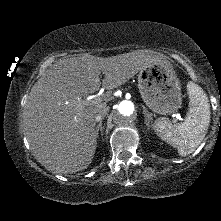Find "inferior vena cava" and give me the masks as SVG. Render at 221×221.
I'll return each instance as SVG.
<instances>
[{
    "instance_id": "inferior-vena-cava-1",
    "label": "inferior vena cava",
    "mask_w": 221,
    "mask_h": 221,
    "mask_svg": "<svg viewBox=\"0 0 221 221\" xmlns=\"http://www.w3.org/2000/svg\"><path fill=\"white\" fill-rule=\"evenodd\" d=\"M108 110H109V109H108L107 107L102 108V109L98 112V114L96 115L95 121H96V122L101 121V120L106 116Z\"/></svg>"
}]
</instances>
